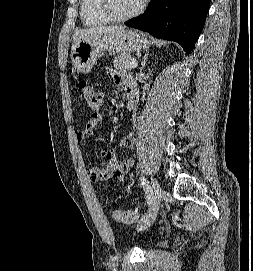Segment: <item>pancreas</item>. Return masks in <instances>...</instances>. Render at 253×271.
<instances>
[{"mask_svg": "<svg viewBox=\"0 0 253 271\" xmlns=\"http://www.w3.org/2000/svg\"><path fill=\"white\" fill-rule=\"evenodd\" d=\"M136 61L134 57H132L129 53H123L120 55H117L113 60V67H115L118 70L125 71V70H131L132 68L129 67V65Z\"/></svg>", "mask_w": 253, "mask_h": 271, "instance_id": "cf45deb5", "label": "pancreas"}]
</instances>
